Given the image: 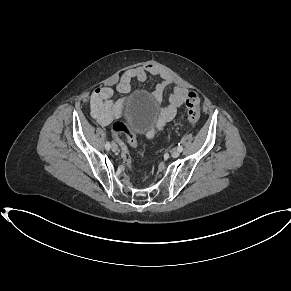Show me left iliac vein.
<instances>
[{
    "label": "left iliac vein",
    "mask_w": 291,
    "mask_h": 291,
    "mask_svg": "<svg viewBox=\"0 0 291 291\" xmlns=\"http://www.w3.org/2000/svg\"><path fill=\"white\" fill-rule=\"evenodd\" d=\"M179 155H180V152H179L178 150H174V151L171 153V156H172L173 158H177V157H179Z\"/></svg>",
    "instance_id": "obj_1"
}]
</instances>
